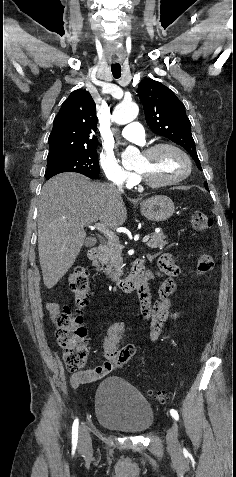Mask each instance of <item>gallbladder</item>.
<instances>
[{
	"mask_svg": "<svg viewBox=\"0 0 236 477\" xmlns=\"http://www.w3.org/2000/svg\"><path fill=\"white\" fill-rule=\"evenodd\" d=\"M84 244L86 247H91L95 244V241L92 238H87Z\"/></svg>",
	"mask_w": 236,
	"mask_h": 477,
	"instance_id": "bac80fb5",
	"label": "gallbladder"
}]
</instances>
